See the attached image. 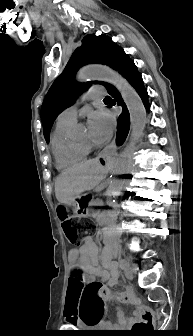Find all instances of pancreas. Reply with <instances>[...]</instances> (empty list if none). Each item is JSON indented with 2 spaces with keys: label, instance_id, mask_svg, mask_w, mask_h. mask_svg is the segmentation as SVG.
I'll return each instance as SVG.
<instances>
[{
  "label": "pancreas",
  "instance_id": "1",
  "mask_svg": "<svg viewBox=\"0 0 193 336\" xmlns=\"http://www.w3.org/2000/svg\"><path fill=\"white\" fill-rule=\"evenodd\" d=\"M104 202L101 199H98L94 202L93 205V210L95 211L96 214H99L100 211L104 209Z\"/></svg>",
  "mask_w": 193,
  "mask_h": 336
}]
</instances>
